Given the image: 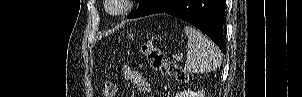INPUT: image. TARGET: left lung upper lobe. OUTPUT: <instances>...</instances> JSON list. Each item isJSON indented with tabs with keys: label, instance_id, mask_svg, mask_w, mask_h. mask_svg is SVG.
Wrapping results in <instances>:
<instances>
[{
	"label": "left lung upper lobe",
	"instance_id": "left-lung-upper-lobe-1",
	"mask_svg": "<svg viewBox=\"0 0 302 97\" xmlns=\"http://www.w3.org/2000/svg\"><path fill=\"white\" fill-rule=\"evenodd\" d=\"M136 2L139 3V7H138V10L139 9H143L149 2L150 0H136Z\"/></svg>",
	"mask_w": 302,
	"mask_h": 97
}]
</instances>
